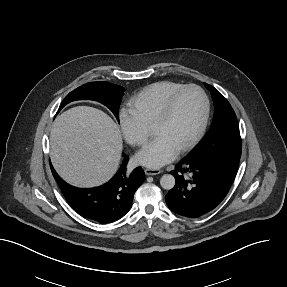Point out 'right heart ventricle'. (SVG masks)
Here are the masks:
<instances>
[{
  "instance_id": "obj_1",
  "label": "right heart ventricle",
  "mask_w": 287,
  "mask_h": 287,
  "mask_svg": "<svg viewBox=\"0 0 287 287\" xmlns=\"http://www.w3.org/2000/svg\"><path fill=\"white\" fill-rule=\"evenodd\" d=\"M182 84L173 81H160L145 87L129 101V107L143 122L151 127L168 96Z\"/></svg>"
}]
</instances>
